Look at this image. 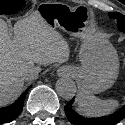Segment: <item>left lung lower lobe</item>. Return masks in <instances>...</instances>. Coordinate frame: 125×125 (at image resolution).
<instances>
[{
    "instance_id": "1",
    "label": "left lung lower lobe",
    "mask_w": 125,
    "mask_h": 125,
    "mask_svg": "<svg viewBox=\"0 0 125 125\" xmlns=\"http://www.w3.org/2000/svg\"><path fill=\"white\" fill-rule=\"evenodd\" d=\"M73 102L74 98L64 107L66 116L73 125H115L125 118V106L108 116L85 118L74 111Z\"/></svg>"
}]
</instances>
